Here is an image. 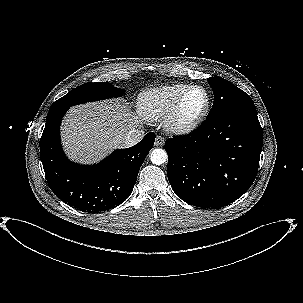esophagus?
<instances>
[{
	"mask_svg": "<svg viewBox=\"0 0 303 303\" xmlns=\"http://www.w3.org/2000/svg\"><path fill=\"white\" fill-rule=\"evenodd\" d=\"M164 142H165V140H164L163 137L157 136V137L155 138V143H154V145L157 146V147H161V146L164 145Z\"/></svg>",
	"mask_w": 303,
	"mask_h": 303,
	"instance_id": "1",
	"label": "esophagus"
}]
</instances>
